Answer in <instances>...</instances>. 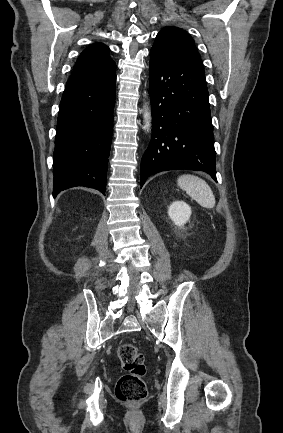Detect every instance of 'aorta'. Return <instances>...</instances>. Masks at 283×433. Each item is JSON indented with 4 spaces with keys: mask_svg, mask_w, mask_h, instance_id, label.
<instances>
[{
    "mask_svg": "<svg viewBox=\"0 0 283 433\" xmlns=\"http://www.w3.org/2000/svg\"><path fill=\"white\" fill-rule=\"evenodd\" d=\"M143 117H144V129L146 131H149L151 127V114L148 111V107H145Z\"/></svg>",
    "mask_w": 283,
    "mask_h": 433,
    "instance_id": "aorta-1",
    "label": "aorta"
}]
</instances>
